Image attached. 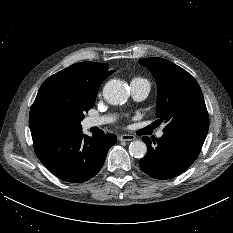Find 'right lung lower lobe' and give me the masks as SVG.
I'll return each mask as SVG.
<instances>
[{
	"label": "right lung lower lobe",
	"mask_w": 233,
	"mask_h": 233,
	"mask_svg": "<svg viewBox=\"0 0 233 233\" xmlns=\"http://www.w3.org/2000/svg\"><path fill=\"white\" fill-rule=\"evenodd\" d=\"M32 139L43 165L56 177L73 183L94 177L117 140L112 134L83 135L82 128L52 130Z\"/></svg>",
	"instance_id": "1"
}]
</instances>
